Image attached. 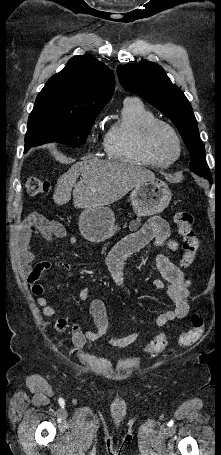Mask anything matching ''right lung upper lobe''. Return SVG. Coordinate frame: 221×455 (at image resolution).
Returning <instances> with one entry per match:
<instances>
[{"label":"right lung upper lobe","mask_w":221,"mask_h":455,"mask_svg":"<svg viewBox=\"0 0 221 455\" xmlns=\"http://www.w3.org/2000/svg\"><path fill=\"white\" fill-rule=\"evenodd\" d=\"M113 72L90 54L72 57L66 67L53 75L39 92L34 108L59 112L97 113L112 97Z\"/></svg>","instance_id":"right-lung-upper-lobe-1"}]
</instances>
